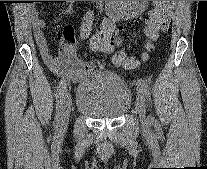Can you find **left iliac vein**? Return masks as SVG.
Listing matches in <instances>:
<instances>
[{
	"mask_svg": "<svg viewBox=\"0 0 207 169\" xmlns=\"http://www.w3.org/2000/svg\"><path fill=\"white\" fill-rule=\"evenodd\" d=\"M137 112L139 114L142 126L148 127L150 124V121L146 116L145 98H144L142 92H140V91L137 94Z\"/></svg>",
	"mask_w": 207,
	"mask_h": 169,
	"instance_id": "1",
	"label": "left iliac vein"
}]
</instances>
